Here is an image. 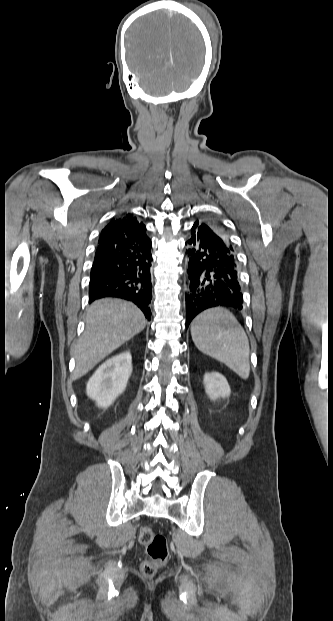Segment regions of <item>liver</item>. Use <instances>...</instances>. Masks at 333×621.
Here are the masks:
<instances>
[{
  "label": "liver",
  "instance_id": "6515ba94",
  "mask_svg": "<svg viewBox=\"0 0 333 621\" xmlns=\"http://www.w3.org/2000/svg\"><path fill=\"white\" fill-rule=\"evenodd\" d=\"M145 326L144 314L135 305L112 298L95 301L88 309L86 329L74 349V378L84 376Z\"/></svg>",
  "mask_w": 333,
  "mask_h": 621
}]
</instances>
